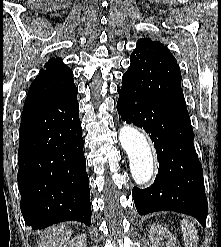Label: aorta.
<instances>
[{"label":"aorta","mask_w":221,"mask_h":247,"mask_svg":"<svg viewBox=\"0 0 221 247\" xmlns=\"http://www.w3.org/2000/svg\"><path fill=\"white\" fill-rule=\"evenodd\" d=\"M119 141L126 151L132 177L136 184L143 185L153 176V155L146 136L136 128L126 125L120 129Z\"/></svg>","instance_id":"762f6f07"}]
</instances>
